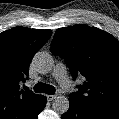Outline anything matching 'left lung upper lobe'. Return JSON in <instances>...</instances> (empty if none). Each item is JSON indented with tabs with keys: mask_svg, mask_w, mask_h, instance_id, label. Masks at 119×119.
<instances>
[{
	"mask_svg": "<svg viewBox=\"0 0 119 119\" xmlns=\"http://www.w3.org/2000/svg\"><path fill=\"white\" fill-rule=\"evenodd\" d=\"M51 52L64 59L74 79L85 77L69 100L119 118V41L87 25L57 29Z\"/></svg>",
	"mask_w": 119,
	"mask_h": 119,
	"instance_id": "left-lung-upper-lobe-1",
	"label": "left lung upper lobe"
}]
</instances>
